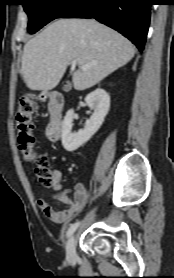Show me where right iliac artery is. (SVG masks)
<instances>
[{
  "label": "right iliac artery",
  "instance_id": "right-iliac-artery-1",
  "mask_svg": "<svg viewBox=\"0 0 174 278\" xmlns=\"http://www.w3.org/2000/svg\"><path fill=\"white\" fill-rule=\"evenodd\" d=\"M78 226H79V222L71 224L67 230V234H66L67 237L71 236Z\"/></svg>",
  "mask_w": 174,
  "mask_h": 278
}]
</instances>
